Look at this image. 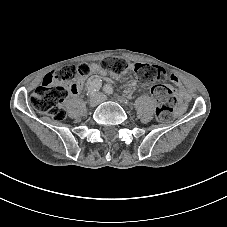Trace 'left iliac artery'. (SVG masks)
<instances>
[{
	"label": "left iliac artery",
	"instance_id": "left-iliac-artery-1",
	"mask_svg": "<svg viewBox=\"0 0 227 227\" xmlns=\"http://www.w3.org/2000/svg\"><path fill=\"white\" fill-rule=\"evenodd\" d=\"M103 90L107 94H113L114 93L113 87L111 85H108V84L104 85ZM114 95L117 96L119 99H121L118 94H114ZM124 102L127 104V100L126 101L124 100ZM131 109H133V108L131 107Z\"/></svg>",
	"mask_w": 227,
	"mask_h": 227
}]
</instances>
